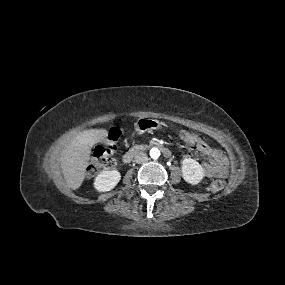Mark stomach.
Here are the masks:
<instances>
[{
	"label": "stomach",
	"mask_w": 285,
	"mask_h": 285,
	"mask_svg": "<svg viewBox=\"0 0 285 285\" xmlns=\"http://www.w3.org/2000/svg\"><path fill=\"white\" fill-rule=\"evenodd\" d=\"M158 127H159V122L150 119H142L138 124V130L141 133L148 130L157 129Z\"/></svg>",
	"instance_id": "stomach-1"
}]
</instances>
